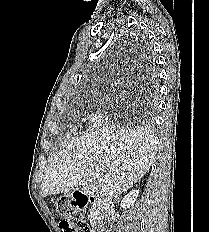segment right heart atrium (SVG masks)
<instances>
[{"instance_id":"obj_1","label":"right heart atrium","mask_w":209,"mask_h":232,"mask_svg":"<svg viewBox=\"0 0 209 232\" xmlns=\"http://www.w3.org/2000/svg\"><path fill=\"white\" fill-rule=\"evenodd\" d=\"M104 122V114L100 110H96L90 115L89 128L95 129L100 127Z\"/></svg>"}]
</instances>
